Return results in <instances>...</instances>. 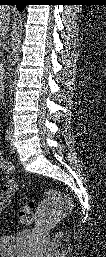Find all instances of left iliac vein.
I'll list each match as a JSON object with an SVG mask.
<instances>
[{"instance_id":"1","label":"left iliac vein","mask_w":106,"mask_h":257,"mask_svg":"<svg viewBox=\"0 0 106 257\" xmlns=\"http://www.w3.org/2000/svg\"><path fill=\"white\" fill-rule=\"evenodd\" d=\"M10 147H11L12 150H15L14 141H13V138H12V133H11Z\"/></svg>"}]
</instances>
